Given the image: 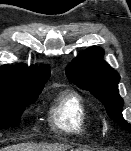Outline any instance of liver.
Returning a JSON list of instances; mask_svg holds the SVG:
<instances>
[{
  "mask_svg": "<svg viewBox=\"0 0 131 151\" xmlns=\"http://www.w3.org/2000/svg\"><path fill=\"white\" fill-rule=\"evenodd\" d=\"M66 145H14L4 148L2 151H67Z\"/></svg>",
  "mask_w": 131,
  "mask_h": 151,
  "instance_id": "6515ba94",
  "label": "liver"
}]
</instances>
